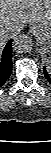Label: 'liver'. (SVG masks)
Listing matches in <instances>:
<instances>
[{
  "instance_id": "6515ba94",
  "label": "liver",
  "mask_w": 51,
  "mask_h": 153,
  "mask_svg": "<svg viewBox=\"0 0 51 153\" xmlns=\"http://www.w3.org/2000/svg\"><path fill=\"white\" fill-rule=\"evenodd\" d=\"M26 23L51 24V0H0V47Z\"/></svg>"
}]
</instances>
